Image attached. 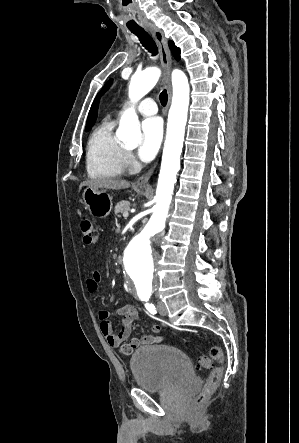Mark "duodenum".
<instances>
[{
    "mask_svg": "<svg viewBox=\"0 0 299 443\" xmlns=\"http://www.w3.org/2000/svg\"><path fill=\"white\" fill-rule=\"evenodd\" d=\"M116 262H117L118 264H121V263H122V258H121V256H117V257H116Z\"/></svg>",
    "mask_w": 299,
    "mask_h": 443,
    "instance_id": "1",
    "label": "duodenum"
}]
</instances>
